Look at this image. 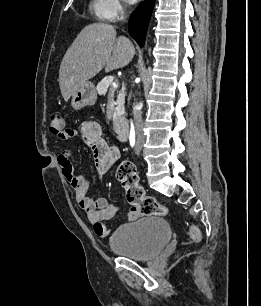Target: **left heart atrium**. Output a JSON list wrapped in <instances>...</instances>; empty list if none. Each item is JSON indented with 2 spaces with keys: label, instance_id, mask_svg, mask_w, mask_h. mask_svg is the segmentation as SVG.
Here are the masks:
<instances>
[{
  "label": "left heart atrium",
  "instance_id": "39dd6f15",
  "mask_svg": "<svg viewBox=\"0 0 261 306\" xmlns=\"http://www.w3.org/2000/svg\"><path fill=\"white\" fill-rule=\"evenodd\" d=\"M127 1L133 3V2H135V1H137V0H127Z\"/></svg>",
  "mask_w": 261,
  "mask_h": 306
}]
</instances>
